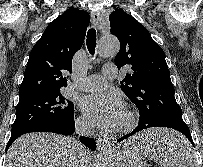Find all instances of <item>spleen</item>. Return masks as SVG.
I'll list each match as a JSON object with an SVG mask.
<instances>
[{"mask_svg": "<svg viewBox=\"0 0 203 167\" xmlns=\"http://www.w3.org/2000/svg\"><path fill=\"white\" fill-rule=\"evenodd\" d=\"M148 146L139 147L141 155L168 167H197L188 142L179 135L159 131L147 139Z\"/></svg>", "mask_w": 203, "mask_h": 167, "instance_id": "obj_1", "label": "spleen"}]
</instances>
